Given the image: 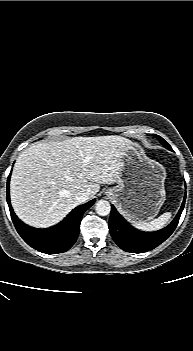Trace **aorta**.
<instances>
[{"label":"aorta","mask_w":193,"mask_h":351,"mask_svg":"<svg viewBox=\"0 0 193 351\" xmlns=\"http://www.w3.org/2000/svg\"><path fill=\"white\" fill-rule=\"evenodd\" d=\"M95 211L100 216H106L111 211L110 203L106 200H99L95 204Z\"/></svg>","instance_id":"1"}]
</instances>
